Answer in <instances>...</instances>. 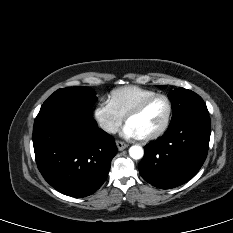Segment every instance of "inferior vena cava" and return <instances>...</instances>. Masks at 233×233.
Wrapping results in <instances>:
<instances>
[{
    "label": "inferior vena cava",
    "mask_w": 233,
    "mask_h": 233,
    "mask_svg": "<svg viewBox=\"0 0 233 233\" xmlns=\"http://www.w3.org/2000/svg\"><path fill=\"white\" fill-rule=\"evenodd\" d=\"M103 128L108 133H116L117 132V128L114 126L106 125Z\"/></svg>",
    "instance_id": "602c4592"
}]
</instances>
